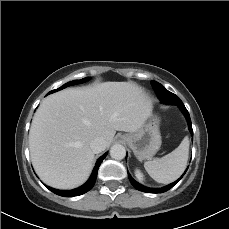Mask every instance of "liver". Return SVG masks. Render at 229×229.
I'll list each match as a JSON object with an SVG mask.
<instances>
[{
  "mask_svg": "<svg viewBox=\"0 0 229 229\" xmlns=\"http://www.w3.org/2000/svg\"><path fill=\"white\" fill-rule=\"evenodd\" d=\"M152 115V103L132 82H104L69 88L46 97L32 121L29 149L40 179L58 189H72L89 177L97 137L105 148L116 131L136 132Z\"/></svg>",
  "mask_w": 229,
  "mask_h": 229,
  "instance_id": "liver-1",
  "label": "liver"
}]
</instances>
